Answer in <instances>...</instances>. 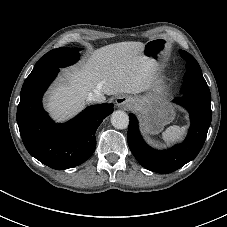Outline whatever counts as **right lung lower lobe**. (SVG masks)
I'll use <instances>...</instances> for the list:
<instances>
[{
    "label": "right lung lower lobe",
    "mask_w": 227,
    "mask_h": 227,
    "mask_svg": "<svg viewBox=\"0 0 227 227\" xmlns=\"http://www.w3.org/2000/svg\"><path fill=\"white\" fill-rule=\"evenodd\" d=\"M59 68L25 80L17 108V123L27 151L41 163L62 170L85 162L95 151V132L113 112V104L86 108L76 118L59 125L43 110L42 95Z\"/></svg>",
    "instance_id": "1"
}]
</instances>
